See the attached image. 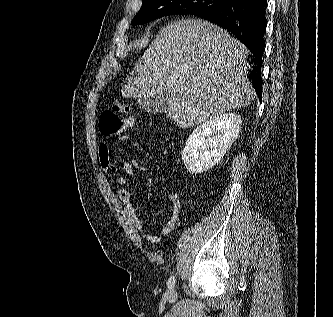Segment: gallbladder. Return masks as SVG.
Listing matches in <instances>:
<instances>
[{"label":"gallbladder","instance_id":"obj_1","mask_svg":"<svg viewBox=\"0 0 333 317\" xmlns=\"http://www.w3.org/2000/svg\"><path fill=\"white\" fill-rule=\"evenodd\" d=\"M137 103L144 111L156 114L163 112L166 98L164 96L142 97L137 100Z\"/></svg>","mask_w":333,"mask_h":317}]
</instances>
